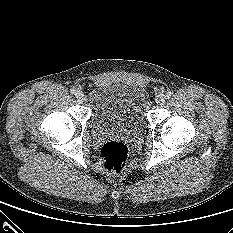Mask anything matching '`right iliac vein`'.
Segmentation results:
<instances>
[{"label": "right iliac vein", "mask_w": 233, "mask_h": 233, "mask_svg": "<svg viewBox=\"0 0 233 233\" xmlns=\"http://www.w3.org/2000/svg\"><path fill=\"white\" fill-rule=\"evenodd\" d=\"M75 96L79 102H83L85 100V95L82 91H77Z\"/></svg>", "instance_id": "right-iliac-vein-1"}]
</instances>
